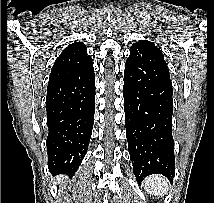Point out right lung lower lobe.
<instances>
[{
	"label": "right lung lower lobe",
	"instance_id": "1",
	"mask_svg": "<svg viewBox=\"0 0 214 203\" xmlns=\"http://www.w3.org/2000/svg\"><path fill=\"white\" fill-rule=\"evenodd\" d=\"M47 152L51 173L74 175L91 138L95 113L93 63L48 83Z\"/></svg>",
	"mask_w": 214,
	"mask_h": 203
}]
</instances>
